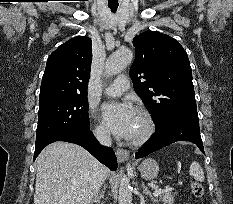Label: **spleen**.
Segmentation results:
<instances>
[{"instance_id":"spleen-1","label":"spleen","mask_w":233,"mask_h":204,"mask_svg":"<svg viewBox=\"0 0 233 204\" xmlns=\"http://www.w3.org/2000/svg\"><path fill=\"white\" fill-rule=\"evenodd\" d=\"M189 173L193 176L197 181H204L205 176L202 167L196 161H193L189 168Z\"/></svg>"}]
</instances>
